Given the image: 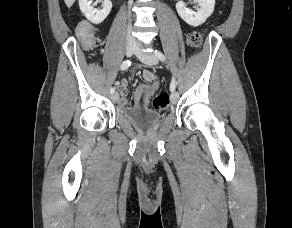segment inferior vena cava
<instances>
[{
  "label": "inferior vena cava",
  "mask_w": 292,
  "mask_h": 228,
  "mask_svg": "<svg viewBox=\"0 0 292 228\" xmlns=\"http://www.w3.org/2000/svg\"><path fill=\"white\" fill-rule=\"evenodd\" d=\"M133 0H129V7L132 5ZM127 39L135 41V39L131 36V25L129 24L128 26V34H127Z\"/></svg>",
  "instance_id": "602c4592"
}]
</instances>
